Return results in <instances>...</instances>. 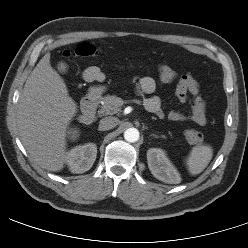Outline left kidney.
I'll return each instance as SVG.
<instances>
[{"label": "left kidney", "instance_id": "5707ae66", "mask_svg": "<svg viewBox=\"0 0 248 248\" xmlns=\"http://www.w3.org/2000/svg\"><path fill=\"white\" fill-rule=\"evenodd\" d=\"M148 167L153 176L168 184H178L181 177L162 149L151 148L147 151Z\"/></svg>", "mask_w": 248, "mask_h": 248}]
</instances>
